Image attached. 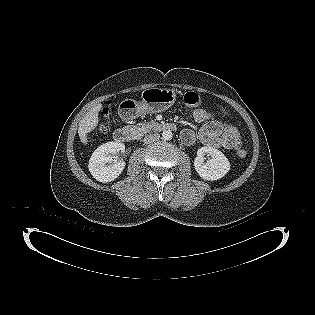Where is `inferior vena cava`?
<instances>
[{
  "label": "inferior vena cava",
  "mask_w": 315,
  "mask_h": 315,
  "mask_svg": "<svg viewBox=\"0 0 315 315\" xmlns=\"http://www.w3.org/2000/svg\"><path fill=\"white\" fill-rule=\"evenodd\" d=\"M159 138H160V135L158 133H152V134L146 135L143 142L145 144H149V143L159 140Z\"/></svg>",
  "instance_id": "602c4592"
}]
</instances>
